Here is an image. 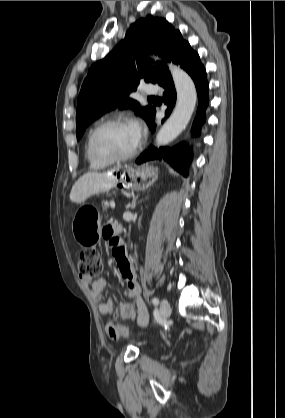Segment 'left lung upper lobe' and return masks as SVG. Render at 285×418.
<instances>
[{
	"label": "left lung upper lobe",
	"instance_id": "5c2ea615",
	"mask_svg": "<svg viewBox=\"0 0 285 418\" xmlns=\"http://www.w3.org/2000/svg\"><path fill=\"white\" fill-rule=\"evenodd\" d=\"M181 39L179 30L163 18L149 15L132 24L125 38L88 71L77 102V139L91 122L118 107L134 109L149 124L155 108L141 107L130 93L136 90L141 79L157 83L166 66L142 56L144 52H151L170 61L173 49ZM138 56L141 58L135 65L133 59Z\"/></svg>",
	"mask_w": 285,
	"mask_h": 418
}]
</instances>
